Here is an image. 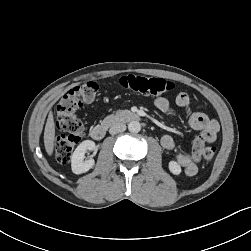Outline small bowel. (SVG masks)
<instances>
[{
    "instance_id": "small-bowel-1",
    "label": "small bowel",
    "mask_w": 251,
    "mask_h": 251,
    "mask_svg": "<svg viewBox=\"0 0 251 251\" xmlns=\"http://www.w3.org/2000/svg\"><path fill=\"white\" fill-rule=\"evenodd\" d=\"M178 108L184 110L188 115L190 126L200 132L193 142L192 152L190 154L184 152H175L174 159L181 166L187 176H194L198 172V165L201 161L202 152L205 144L212 143L216 140L219 131L218 122L201 111L190 110V97L185 92H180L175 99ZM155 107L170 116L174 115V111L170 102L165 97H157L154 100ZM161 146L167 151L175 150V141L170 135H164L161 138Z\"/></svg>"
}]
</instances>
